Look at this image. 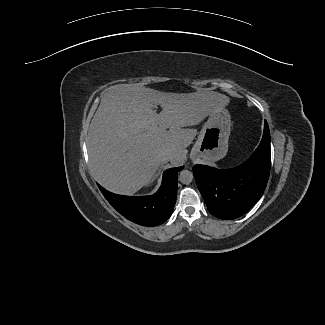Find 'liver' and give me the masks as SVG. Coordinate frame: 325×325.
Masks as SVG:
<instances>
[{
	"label": "liver",
	"instance_id": "6515ba94",
	"mask_svg": "<svg viewBox=\"0 0 325 325\" xmlns=\"http://www.w3.org/2000/svg\"><path fill=\"white\" fill-rule=\"evenodd\" d=\"M229 102L218 92L168 93L140 84L110 87L88 133L94 178L114 193L137 192L152 180L162 162L161 152H172L173 166L184 162L186 148L197 134L196 129L184 127L198 124ZM155 104L161 106L160 114L153 109Z\"/></svg>",
	"mask_w": 325,
	"mask_h": 325
}]
</instances>
